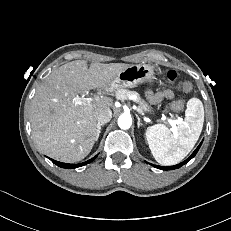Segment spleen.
Masks as SVG:
<instances>
[{
	"label": "spleen",
	"instance_id": "obj_1",
	"mask_svg": "<svg viewBox=\"0 0 231 231\" xmlns=\"http://www.w3.org/2000/svg\"><path fill=\"white\" fill-rule=\"evenodd\" d=\"M204 122V107L200 99L187 102L185 119L175 129L162 124L146 130V139L155 160L166 166L182 161L199 139Z\"/></svg>",
	"mask_w": 231,
	"mask_h": 231
}]
</instances>
